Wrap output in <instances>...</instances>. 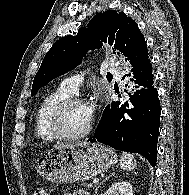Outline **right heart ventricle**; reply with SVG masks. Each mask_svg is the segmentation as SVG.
<instances>
[{"label": "right heart ventricle", "instance_id": "e07e8e85", "mask_svg": "<svg viewBox=\"0 0 189 195\" xmlns=\"http://www.w3.org/2000/svg\"><path fill=\"white\" fill-rule=\"evenodd\" d=\"M70 96L71 94L60 86L43 100L34 121L35 132L40 140L52 142L58 139L50 127V117L56 106Z\"/></svg>", "mask_w": 189, "mask_h": 195}]
</instances>
